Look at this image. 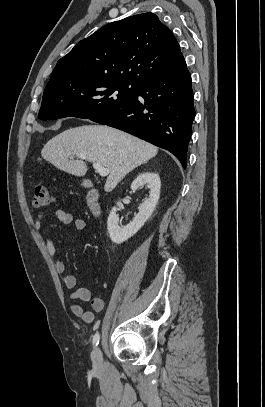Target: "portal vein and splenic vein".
I'll return each mask as SVG.
<instances>
[{
	"label": "portal vein and splenic vein",
	"instance_id": "1",
	"mask_svg": "<svg viewBox=\"0 0 265 407\" xmlns=\"http://www.w3.org/2000/svg\"><path fill=\"white\" fill-rule=\"evenodd\" d=\"M77 157L80 159H86L84 155H77ZM93 168L102 177L107 176L109 174V170L98 163H93Z\"/></svg>",
	"mask_w": 265,
	"mask_h": 407
}]
</instances>
